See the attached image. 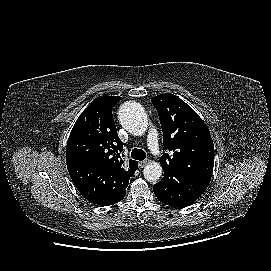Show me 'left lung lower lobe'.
<instances>
[{"label": "left lung lower lobe", "instance_id": "obj_1", "mask_svg": "<svg viewBox=\"0 0 271 271\" xmlns=\"http://www.w3.org/2000/svg\"><path fill=\"white\" fill-rule=\"evenodd\" d=\"M156 197L172 207H187L206 190L203 185L179 172H164L163 179L153 186Z\"/></svg>", "mask_w": 271, "mask_h": 271}]
</instances>
